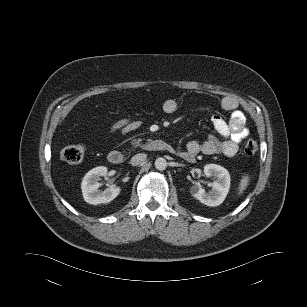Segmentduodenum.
Masks as SVG:
<instances>
[{
	"label": "duodenum",
	"instance_id": "duodenum-1",
	"mask_svg": "<svg viewBox=\"0 0 307 307\" xmlns=\"http://www.w3.org/2000/svg\"><path fill=\"white\" fill-rule=\"evenodd\" d=\"M142 149L146 151H154V152H161V151H166V152H171L173 150V147L167 143L164 140H151L146 143H144L141 146ZM108 161L112 165H121L124 161V156L120 151L117 150H112L108 153Z\"/></svg>",
	"mask_w": 307,
	"mask_h": 307
}]
</instances>
